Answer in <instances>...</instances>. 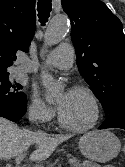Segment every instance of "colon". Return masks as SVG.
Here are the masks:
<instances>
[{
	"mask_svg": "<svg viewBox=\"0 0 125 167\" xmlns=\"http://www.w3.org/2000/svg\"><path fill=\"white\" fill-rule=\"evenodd\" d=\"M123 152L125 154V143L123 144Z\"/></svg>",
	"mask_w": 125,
	"mask_h": 167,
	"instance_id": "colon-1",
	"label": "colon"
}]
</instances>
